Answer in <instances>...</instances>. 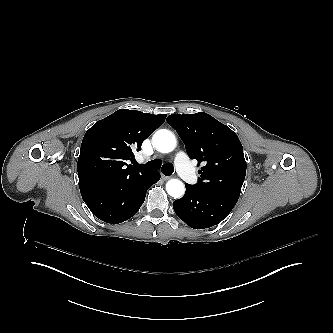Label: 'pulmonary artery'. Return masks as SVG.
I'll return each instance as SVG.
<instances>
[{"label": "pulmonary artery", "instance_id": "obj_1", "mask_svg": "<svg viewBox=\"0 0 333 333\" xmlns=\"http://www.w3.org/2000/svg\"><path fill=\"white\" fill-rule=\"evenodd\" d=\"M185 150H180L179 154L175 156L174 161L177 164V172L183 177L187 182L193 183L196 181L197 176L194 173L193 167L188 162Z\"/></svg>", "mask_w": 333, "mask_h": 333}]
</instances>
